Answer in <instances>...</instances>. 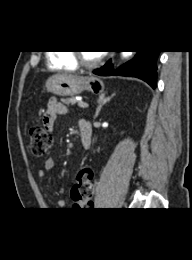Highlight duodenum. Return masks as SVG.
<instances>
[{"mask_svg": "<svg viewBox=\"0 0 192 260\" xmlns=\"http://www.w3.org/2000/svg\"><path fill=\"white\" fill-rule=\"evenodd\" d=\"M79 128L82 147L87 150L90 148L92 142V124L88 120L81 119L79 121Z\"/></svg>", "mask_w": 192, "mask_h": 260, "instance_id": "obj_1", "label": "duodenum"}]
</instances>
